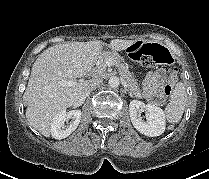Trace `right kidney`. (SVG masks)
Here are the masks:
<instances>
[{
	"mask_svg": "<svg viewBox=\"0 0 209 179\" xmlns=\"http://www.w3.org/2000/svg\"><path fill=\"white\" fill-rule=\"evenodd\" d=\"M81 115L80 110H71L69 112H66V110L60 111L51 123L50 130L52 137L59 140L68 137L78 127ZM70 119L71 122L68 124Z\"/></svg>",
	"mask_w": 209,
	"mask_h": 179,
	"instance_id": "right-kidney-1",
	"label": "right kidney"
}]
</instances>
